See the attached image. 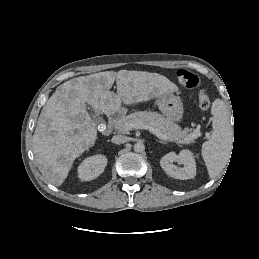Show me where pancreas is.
Returning <instances> with one entry per match:
<instances>
[{
    "mask_svg": "<svg viewBox=\"0 0 259 259\" xmlns=\"http://www.w3.org/2000/svg\"><path fill=\"white\" fill-rule=\"evenodd\" d=\"M137 121L142 122L144 125L159 129L167 136L169 141L180 144H189L194 142V140L199 137L198 134L201 133L199 128L194 130L186 128L182 130L181 127L171 119L163 117L157 112L150 111H140L127 116H122L115 122L114 127L119 133L128 134L129 131L125 128V124ZM193 134H195L194 137H192Z\"/></svg>",
    "mask_w": 259,
    "mask_h": 259,
    "instance_id": "pancreas-1",
    "label": "pancreas"
}]
</instances>
